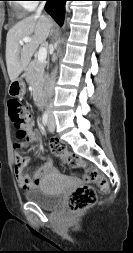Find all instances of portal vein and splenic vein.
I'll return each mask as SVG.
<instances>
[{
  "label": "portal vein and splenic vein",
  "instance_id": "obj_1",
  "mask_svg": "<svg viewBox=\"0 0 133 253\" xmlns=\"http://www.w3.org/2000/svg\"><path fill=\"white\" fill-rule=\"evenodd\" d=\"M32 39L30 37H25L19 41L20 44L24 42H30ZM47 57V49L45 47H41L38 52V62H44Z\"/></svg>",
  "mask_w": 133,
  "mask_h": 253
}]
</instances>
